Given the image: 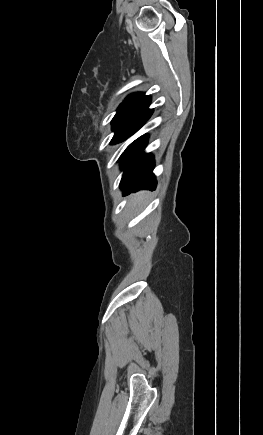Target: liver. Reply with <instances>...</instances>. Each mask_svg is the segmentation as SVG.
<instances>
[{
	"mask_svg": "<svg viewBox=\"0 0 263 435\" xmlns=\"http://www.w3.org/2000/svg\"><path fill=\"white\" fill-rule=\"evenodd\" d=\"M144 194V192L137 193L136 195H134V200L139 203L142 200Z\"/></svg>",
	"mask_w": 263,
	"mask_h": 435,
	"instance_id": "liver-1",
	"label": "liver"
}]
</instances>
